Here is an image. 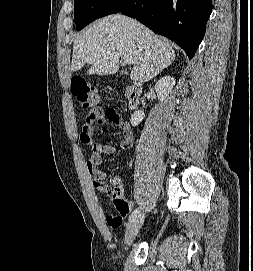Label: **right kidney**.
<instances>
[{
  "label": "right kidney",
  "instance_id": "ca27d5eb",
  "mask_svg": "<svg viewBox=\"0 0 253 271\" xmlns=\"http://www.w3.org/2000/svg\"><path fill=\"white\" fill-rule=\"evenodd\" d=\"M176 81L174 77L165 76L157 81L155 84V91L157 93L158 99L163 102L166 97L172 92V88ZM145 115L143 111H135L131 116L130 122L132 126H137L143 119Z\"/></svg>",
  "mask_w": 253,
  "mask_h": 271
}]
</instances>
